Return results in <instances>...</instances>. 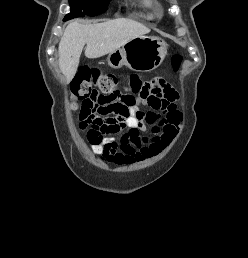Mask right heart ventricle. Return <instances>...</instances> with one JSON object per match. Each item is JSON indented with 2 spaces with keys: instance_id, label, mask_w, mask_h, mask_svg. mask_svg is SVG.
<instances>
[{
  "instance_id": "1",
  "label": "right heart ventricle",
  "mask_w": 248,
  "mask_h": 258,
  "mask_svg": "<svg viewBox=\"0 0 248 258\" xmlns=\"http://www.w3.org/2000/svg\"><path fill=\"white\" fill-rule=\"evenodd\" d=\"M136 6L147 11L148 13H152L154 10V1L153 0H136Z\"/></svg>"
}]
</instances>
